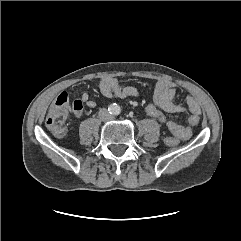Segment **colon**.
<instances>
[{"label":"colon","instance_id":"1","mask_svg":"<svg viewBox=\"0 0 241 241\" xmlns=\"http://www.w3.org/2000/svg\"><path fill=\"white\" fill-rule=\"evenodd\" d=\"M71 110L76 113L82 110V103L75 100L69 102L65 93H61L51 105L46 116V126L55 135L62 136L66 130V123ZM145 111L149 117L165 126L172 136L166 139V144L169 146L177 145L180 140L188 139L192 135V131L188 127L181 126L168 118L155 103H148L145 106ZM200 118L197 115H191L188 118V123L191 126L199 124Z\"/></svg>","mask_w":241,"mask_h":241}]
</instances>
